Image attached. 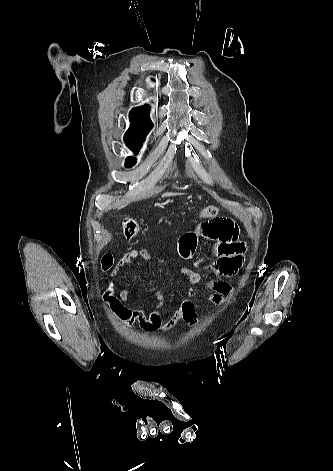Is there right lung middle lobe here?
<instances>
[{
	"mask_svg": "<svg viewBox=\"0 0 333 471\" xmlns=\"http://www.w3.org/2000/svg\"><path fill=\"white\" fill-rule=\"evenodd\" d=\"M147 132L144 131H127L125 134L124 140L126 142V145L133 150L134 152H137L139 147L142 145L145 135ZM135 163L134 158H127L126 160V166L131 167Z\"/></svg>",
	"mask_w": 333,
	"mask_h": 471,
	"instance_id": "right-lung-middle-lobe-1",
	"label": "right lung middle lobe"
}]
</instances>
